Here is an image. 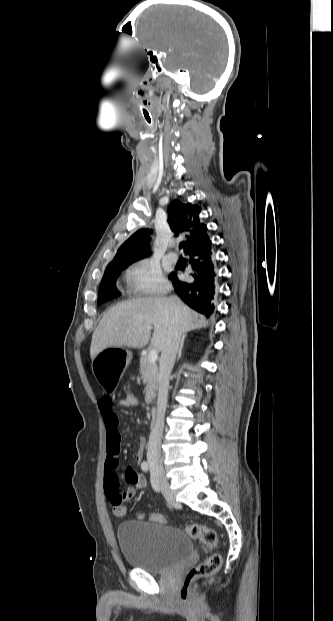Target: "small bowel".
<instances>
[{
  "label": "small bowel",
  "instance_id": "small-bowel-1",
  "mask_svg": "<svg viewBox=\"0 0 333 621\" xmlns=\"http://www.w3.org/2000/svg\"><path fill=\"white\" fill-rule=\"evenodd\" d=\"M121 404V401H120ZM99 409L107 433V457L105 460L104 486L108 501L112 508L117 505H124L129 501L138 490L146 485L145 478L133 467H127L124 480L128 484L124 490L120 489L119 476L116 472L118 467V455L120 451L121 435L119 431V419L113 411L112 399L103 396L99 400ZM145 447L144 438L138 439V448L135 453V461L140 464L143 458Z\"/></svg>",
  "mask_w": 333,
  "mask_h": 621
}]
</instances>
